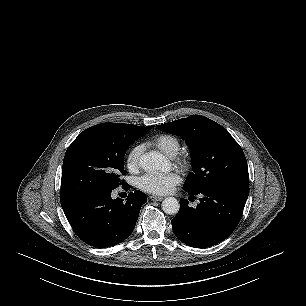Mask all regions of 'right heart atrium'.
Wrapping results in <instances>:
<instances>
[{"instance_id":"obj_1","label":"right heart atrium","mask_w":306,"mask_h":306,"mask_svg":"<svg viewBox=\"0 0 306 306\" xmlns=\"http://www.w3.org/2000/svg\"><path fill=\"white\" fill-rule=\"evenodd\" d=\"M142 153L143 147L141 145H135L129 150L126 156V165L129 171L137 172L139 170Z\"/></svg>"}]
</instances>
